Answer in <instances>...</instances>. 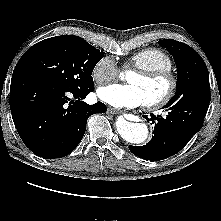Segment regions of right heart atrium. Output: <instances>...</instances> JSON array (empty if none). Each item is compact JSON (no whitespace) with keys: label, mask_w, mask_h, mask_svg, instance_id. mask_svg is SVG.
<instances>
[{"label":"right heart atrium","mask_w":221,"mask_h":221,"mask_svg":"<svg viewBox=\"0 0 221 221\" xmlns=\"http://www.w3.org/2000/svg\"><path fill=\"white\" fill-rule=\"evenodd\" d=\"M118 75L119 69L117 65L108 56L100 58L91 71L93 81L99 85L115 80Z\"/></svg>","instance_id":"obj_1"}]
</instances>
